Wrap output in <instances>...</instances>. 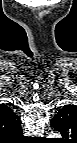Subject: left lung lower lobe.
Returning <instances> with one entry per match:
<instances>
[{
    "instance_id": "left-lung-lower-lobe-1",
    "label": "left lung lower lobe",
    "mask_w": 77,
    "mask_h": 143,
    "mask_svg": "<svg viewBox=\"0 0 77 143\" xmlns=\"http://www.w3.org/2000/svg\"><path fill=\"white\" fill-rule=\"evenodd\" d=\"M75 113V106L65 105L59 112L52 118L51 125H57L66 121L72 122L73 115ZM54 127V126H53Z\"/></svg>"
}]
</instances>
